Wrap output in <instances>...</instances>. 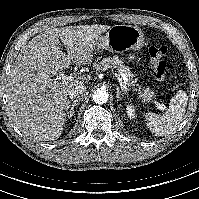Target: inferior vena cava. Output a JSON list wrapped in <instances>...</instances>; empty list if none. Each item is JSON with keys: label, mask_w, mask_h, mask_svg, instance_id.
Returning a JSON list of instances; mask_svg holds the SVG:
<instances>
[{"label": "inferior vena cava", "mask_w": 199, "mask_h": 199, "mask_svg": "<svg viewBox=\"0 0 199 199\" xmlns=\"http://www.w3.org/2000/svg\"><path fill=\"white\" fill-rule=\"evenodd\" d=\"M69 98L74 102L83 99L86 96V87L83 84L72 87L69 91Z\"/></svg>", "instance_id": "1"}]
</instances>
